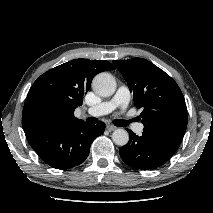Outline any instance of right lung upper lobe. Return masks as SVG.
I'll use <instances>...</instances> for the list:
<instances>
[{"mask_svg": "<svg viewBox=\"0 0 213 213\" xmlns=\"http://www.w3.org/2000/svg\"><path fill=\"white\" fill-rule=\"evenodd\" d=\"M115 67L106 60L74 59L39 76L30 88L22 113L23 129L64 130L84 122L74 116L93 77Z\"/></svg>", "mask_w": 213, "mask_h": 213, "instance_id": "obj_1", "label": "right lung upper lobe"}]
</instances>
